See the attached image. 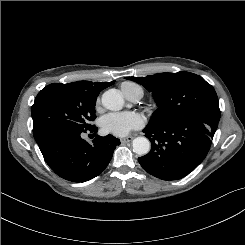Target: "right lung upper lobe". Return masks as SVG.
Instances as JSON below:
<instances>
[{"mask_svg":"<svg viewBox=\"0 0 245 245\" xmlns=\"http://www.w3.org/2000/svg\"><path fill=\"white\" fill-rule=\"evenodd\" d=\"M114 83V81L112 82H103V83H99V82H90V81H77V82H73L71 83L72 85L76 86V87H79L89 93H93V94H96V95H99V93L111 86L112 84Z\"/></svg>","mask_w":245,"mask_h":245,"instance_id":"right-lung-upper-lobe-1","label":"right lung upper lobe"}]
</instances>
